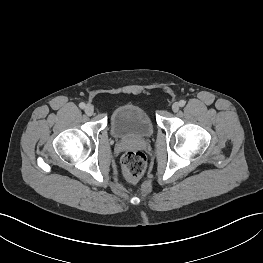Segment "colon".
Wrapping results in <instances>:
<instances>
[{
	"label": "colon",
	"instance_id": "obj_1",
	"mask_svg": "<svg viewBox=\"0 0 263 263\" xmlns=\"http://www.w3.org/2000/svg\"><path fill=\"white\" fill-rule=\"evenodd\" d=\"M147 159L143 152L129 150L122 157V173L126 181L136 183L144 175Z\"/></svg>",
	"mask_w": 263,
	"mask_h": 263
}]
</instances>
